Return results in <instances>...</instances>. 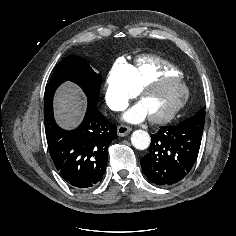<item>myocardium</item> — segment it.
<instances>
[{"label":"myocardium","mask_w":236,"mask_h":236,"mask_svg":"<svg viewBox=\"0 0 236 236\" xmlns=\"http://www.w3.org/2000/svg\"><path fill=\"white\" fill-rule=\"evenodd\" d=\"M166 82H172L178 84V86L181 89V94L177 99V101L172 105V107L167 112L156 116L149 115V119L153 123L161 124L172 120L179 113V111L185 106L189 98V89L184 80L182 79V77L168 76V75L157 77L145 83L137 90V97L141 100L144 94Z\"/></svg>","instance_id":"myocardium-1"}]
</instances>
